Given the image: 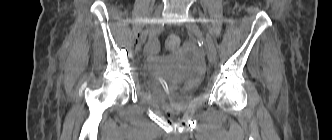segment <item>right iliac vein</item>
I'll return each instance as SVG.
<instances>
[{
    "instance_id": "1",
    "label": "right iliac vein",
    "mask_w": 332,
    "mask_h": 140,
    "mask_svg": "<svg viewBox=\"0 0 332 140\" xmlns=\"http://www.w3.org/2000/svg\"><path fill=\"white\" fill-rule=\"evenodd\" d=\"M161 11H162V5H158V7L156 8L155 13L153 15V18L151 19V26H150V29L148 31L149 33H153L155 31L156 26H157L158 22L160 21ZM147 33H145L142 37V42L143 43L146 40Z\"/></svg>"
}]
</instances>
